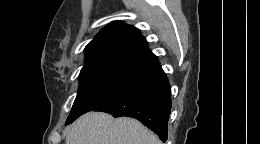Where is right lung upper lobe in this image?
<instances>
[{
	"label": "right lung upper lobe",
	"instance_id": "right-lung-upper-lobe-1",
	"mask_svg": "<svg viewBox=\"0 0 260 144\" xmlns=\"http://www.w3.org/2000/svg\"><path fill=\"white\" fill-rule=\"evenodd\" d=\"M83 69L106 67L139 70L158 62L138 29L118 21L103 28L85 48Z\"/></svg>",
	"mask_w": 260,
	"mask_h": 144
}]
</instances>
